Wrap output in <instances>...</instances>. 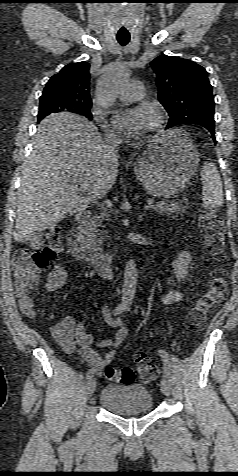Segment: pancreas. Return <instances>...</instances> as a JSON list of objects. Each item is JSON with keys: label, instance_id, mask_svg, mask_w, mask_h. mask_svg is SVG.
Returning a JSON list of instances; mask_svg holds the SVG:
<instances>
[{"label": "pancreas", "instance_id": "cf45deb5", "mask_svg": "<svg viewBox=\"0 0 238 476\" xmlns=\"http://www.w3.org/2000/svg\"><path fill=\"white\" fill-rule=\"evenodd\" d=\"M153 210L158 214H168L178 216L180 213H186L185 207L181 203L173 201L168 202L163 200L154 206ZM106 220V215L101 214L100 216L93 217L88 222V227L86 230V243L89 247L95 251H101V243L104 240L103 234L104 231L100 230L99 227L103 226V222Z\"/></svg>", "mask_w": 238, "mask_h": 476}]
</instances>
